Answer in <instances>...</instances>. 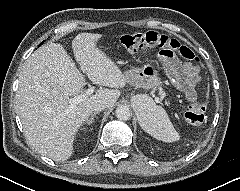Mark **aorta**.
Listing matches in <instances>:
<instances>
[{"mask_svg":"<svg viewBox=\"0 0 240 191\" xmlns=\"http://www.w3.org/2000/svg\"><path fill=\"white\" fill-rule=\"evenodd\" d=\"M139 99L142 101L145 108L151 106V104H152L148 98L141 97ZM116 117L122 121L129 120L131 118V111H130L129 107L126 105L119 106L116 109Z\"/></svg>","mask_w":240,"mask_h":191,"instance_id":"1","label":"aorta"}]
</instances>
